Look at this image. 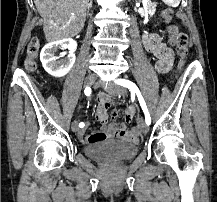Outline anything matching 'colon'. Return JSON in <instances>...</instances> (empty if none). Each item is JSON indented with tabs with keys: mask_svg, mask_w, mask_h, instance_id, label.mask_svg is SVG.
Returning <instances> with one entry per match:
<instances>
[{
	"mask_svg": "<svg viewBox=\"0 0 217 202\" xmlns=\"http://www.w3.org/2000/svg\"><path fill=\"white\" fill-rule=\"evenodd\" d=\"M161 15L165 23L168 24L167 26V33L171 39L172 44L174 45L178 55L185 59L188 55V49L190 46V39L187 33L178 31L177 26L170 25V18H171V11L169 9H163L161 11ZM40 46V40L37 37H33L27 47V56L25 59V69L33 73L36 70V57L38 53V49ZM132 132H137V127L131 128Z\"/></svg>",
	"mask_w": 217,
	"mask_h": 202,
	"instance_id": "obj_1",
	"label": "colon"
}]
</instances>
